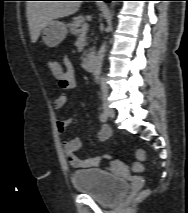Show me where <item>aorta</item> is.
I'll use <instances>...</instances> for the list:
<instances>
[{
    "label": "aorta",
    "instance_id": "762f6f07",
    "mask_svg": "<svg viewBox=\"0 0 188 213\" xmlns=\"http://www.w3.org/2000/svg\"><path fill=\"white\" fill-rule=\"evenodd\" d=\"M116 2L113 1L110 4V13L113 16L114 15V8H115ZM106 45L107 42L105 41L102 46L100 47L97 56L95 57L94 60V71H93V76L95 79L96 83L100 82V75H101V68H102V63H103V59L105 56V52H106Z\"/></svg>",
    "mask_w": 188,
    "mask_h": 213
}]
</instances>
